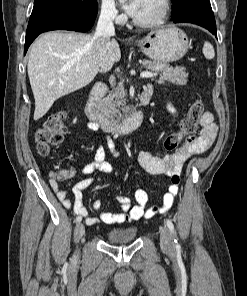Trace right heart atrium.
Wrapping results in <instances>:
<instances>
[{"mask_svg":"<svg viewBox=\"0 0 247 296\" xmlns=\"http://www.w3.org/2000/svg\"><path fill=\"white\" fill-rule=\"evenodd\" d=\"M99 12L104 19L117 23L124 18L114 0H99Z\"/></svg>","mask_w":247,"mask_h":296,"instance_id":"d8ad5b80","label":"right heart atrium"}]
</instances>
